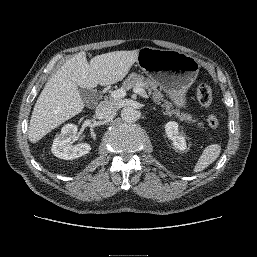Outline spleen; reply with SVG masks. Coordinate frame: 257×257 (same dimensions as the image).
<instances>
[{
  "instance_id": "1",
  "label": "spleen",
  "mask_w": 257,
  "mask_h": 257,
  "mask_svg": "<svg viewBox=\"0 0 257 257\" xmlns=\"http://www.w3.org/2000/svg\"><path fill=\"white\" fill-rule=\"evenodd\" d=\"M220 152L221 146L219 144H211L207 146L200 155L193 172L198 173L203 171L219 157Z\"/></svg>"
}]
</instances>
